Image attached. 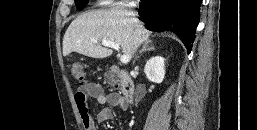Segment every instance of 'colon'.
Listing matches in <instances>:
<instances>
[{"label": "colon", "mask_w": 257, "mask_h": 130, "mask_svg": "<svg viewBox=\"0 0 257 130\" xmlns=\"http://www.w3.org/2000/svg\"><path fill=\"white\" fill-rule=\"evenodd\" d=\"M70 75L75 81L80 83L84 82L86 78V74L82 65L78 63L72 65ZM105 79L111 88L115 90H119L121 88V77L117 73L109 72L106 74Z\"/></svg>", "instance_id": "5ec220e1"}]
</instances>
